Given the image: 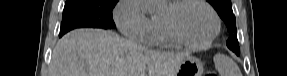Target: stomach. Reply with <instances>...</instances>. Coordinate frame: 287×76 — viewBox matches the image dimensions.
Returning a JSON list of instances; mask_svg holds the SVG:
<instances>
[{"label":"stomach","mask_w":287,"mask_h":76,"mask_svg":"<svg viewBox=\"0 0 287 76\" xmlns=\"http://www.w3.org/2000/svg\"><path fill=\"white\" fill-rule=\"evenodd\" d=\"M203 73L202 62L192 56L186 57L175 74V76H201Z\"/></svg>","instance_id":"obj_1"}]
</instances>
